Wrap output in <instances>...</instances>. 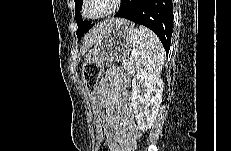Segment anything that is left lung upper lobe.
Here are the masks:
<instances>
[{
  "label": "left lung upper lobe",
  "mask_w": 231,
  "mask_h": 151,
  "mask_svg": "<svg viewBox=\"0 0 231 151\" xmlns=\"http://www.w3.org/2000/svg\"><path fill=\"white\" fill-rule=\"evenodd\" d=\"M75 1V11H76V21H77V25H78V29L76 31L77 37L80 38L81 36H83L85 33H87L89 31V29L93 26L88 22H85L81 19V15L79 14V11L82 8V0H74ZM134 0H122L121 1V7H125V6H130L131 3Z\"/></svg>",
  "instance_id": "1"
}]
</instances>
